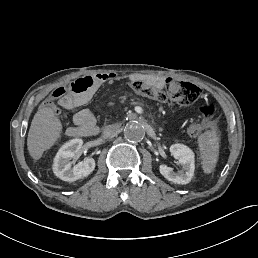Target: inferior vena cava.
I'll use <instances>...</instances> for the list:
<instances>
[{"instance_id":"obj_1","label":"inferior vena cava","mask_w":258,"mask_h":258,"mask_svg":"<svg viewBox=\"0 0 258 258\" xmlns=\"http://www.w3.org/2000/svg\"><path fill=\"white\" fill-rule=\"evenodd\" d=\"M120 127L118 125H108L104 131L103 134L105 136H111L119 131Z\"/></svg>"}]
</instances>
